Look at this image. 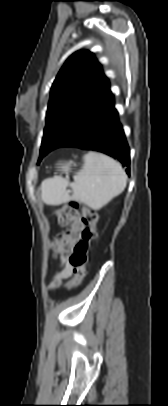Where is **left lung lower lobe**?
Returning <instances> with one entry per match:
<instances>
[{
  "label": "left lung lower lobe",
  "instance_id": "1",
  "mask_svg": "<svg viewBox=\"0 0 168 406\" xmlns=\"http://www.w3.org/2000/svg\"><path fill=\"white\" fill-rule=\"evenodd\" d=\"M60 147L99 151L117 158L125 166L130 165L129 147L109 89L91 111L82 128ZM126 172L129 174L130 169L127 168Z\"/></svg>",
  "mask_w": 168,
  "mask_h": 406
}]
</instances>
